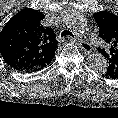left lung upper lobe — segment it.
<instances>
[{
    "label": "left lung upper lobe",
    "instance_id": "obj_1",
    "mask_svg": "<svg viewBox=\"0 0 118 118\" xmlns=\"http://www.w3.org/2000/svg\"><path fill=\"white\" fill-rule=\"evenodd\" d=\"M98 27L99 36L107 47L98 48L108 65L103 74L105 78L118 79V17L108 11H100L93 15Z\"/></svg>",
    "mask_w": 118,
    "mask_h": 118
}]
</instances>
